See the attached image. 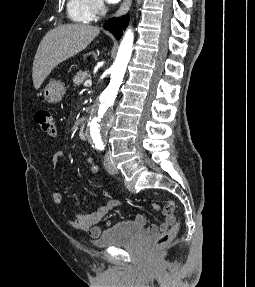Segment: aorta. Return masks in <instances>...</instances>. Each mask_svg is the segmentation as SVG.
<instances>
[{
    "label": "aorta",
    "instance_id": "obj_1",
    "mask_svg": "<svg viewBox=\"0 0 255 287\" xmlns=\"http://www.w3.org/2000/svg\"><path fill=\"white\" fill-rule=\"evenodd\" d=\"M133 40V32L128 29L122 39L117 57L111 67L110 83L100 95L98 102L89 116L87 136L95 147H102L105 144L109 112L115 102L127 64L132 54Z\"/></svg>",
    "mask_w": 255,
    "mask_h": 287
}]
</instances>
